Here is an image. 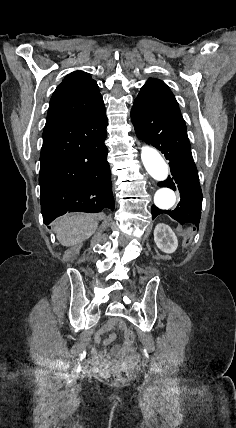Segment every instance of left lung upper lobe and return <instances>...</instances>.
I'll return each instance as SVG.
<instances>
[{
    "instance_id": "left-lung-upper-lobe-1",
    "label": "left lung upper lobe",
    "mask_w": 236,
    "mask_h": 428,
    "mask_svg": "<svg viewBox=\"0 0 236 428\" xmlns=\"http://www.w3.org/2000/svg\"><path fill=\"white\" fill-rule=\"evenodd\" d=\"M133 106L146 108L159 112H174L181 114L178 103L168 88L161 80L149 78L141 88Z\"/></svg>"
}]
</instances>
